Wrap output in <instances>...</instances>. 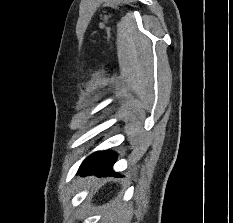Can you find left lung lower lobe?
<instances>
[{"mask_svg": "<svg viewBox=\"0 0 233 223\" xmlns=\"http://www.w3.org/2000/svg\"><path fill=\"white\" fill-rule=\"evenodd\" d=\"M117 156L114 152H96L87 157L81 164L78 174L85 175H97V176H120L114 173L112 166Z\"/></svg>", "mask_w": 233, "mask_h": 223, "instance_id": "left-lung-lower-lobe-1", "label": "left lung lower lobe"}]
</instances>
